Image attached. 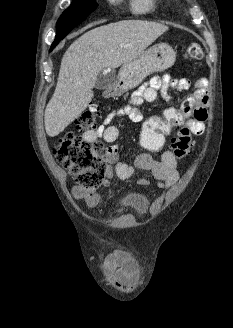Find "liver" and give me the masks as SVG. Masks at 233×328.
<instances>
[{
	"mask_svg": "<svg viewBox=\"0 0 233 328\" xmlns=\"http://www.w3.org/2000/svg\"><path fill=\"white\" fill-rule=\"evenodd\" d=\"M167 30L160 23L125 20L92 29L74 41L62 58L57 85L45 109L47 135H59L87 108L102 69L138 58Z\"/></svg>",
	"mask_w": 233,
	"mask_h": 328,
	"instance_id": "liver-1",
	"label": "liver"
}]
</instances>
